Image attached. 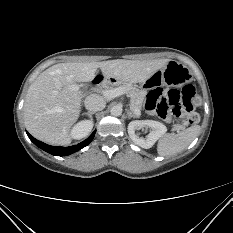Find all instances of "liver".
Returning a JSON list of instances; mask_svg holds the SVG:
<instances>
[{"instance_id":"6515ba94","label":"liver","mask_w":233,"mask_h":233,"mask_svg":"<svg viewBox=\"0 0 233 233\" xmlns=\"http://www.w3.org/2000/svg\"><path fill=\"white\" fill-rule=\"evenodd\" d=\"M168 59L151 61L108 60L103 62H69L53 65L30 85L24 120L29 133L51 145H68L71 127L81 112L83 93L79 83L92 81L98 69L105 79L123 83H142L162 69Z\"/></svg>"}]
</instances>
